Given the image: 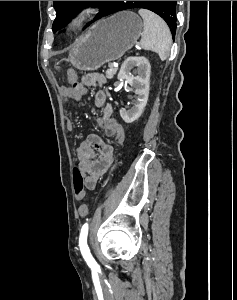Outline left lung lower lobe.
I'll return each instance as SVG.
<instances>
[{
  "label": "left lung lower lobe",
  "instance_id": "0a47b994",
  "mask_svg": "<svg viewBox=\"0 0 237 300\" xmlns=\"http://www.w3.org/2000/svg\"><path fill=\"white\" fill-rule=\"evenodd\" d=\"M119 5H120V1H115V3L109 9L110 14L118 12Z\"/></svg>",
  "mask_w": 237,
  "mask_h": 300
}]
</instances>
